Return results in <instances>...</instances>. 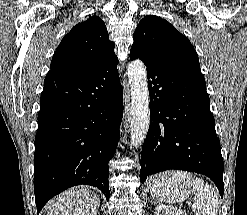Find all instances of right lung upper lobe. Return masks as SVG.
Listing matches in <instances>:
<instances>
[{"label":"right lung upper lobe","mask_w":247,"mask_h":215,"mask_svg":"<svg viewBox=\"0 0 247 215\" xmlns=\"http://www.w3.org/2000/svg\"><path fill=\"white\" fill-rule=\"evenodd\" d=\"M118 60L105 23L98 16L74 26L62 39L50 68L63 74L84 76Z\"/></svg>","instance_id":"right-lung-upper-lobe-1"}]
</instances>
